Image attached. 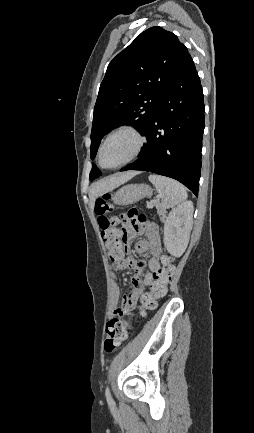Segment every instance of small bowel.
<instances>
[{"label":"small bowel","instance_id":"obj_1","mask_svg":"<svg viewBox=\"0 0 254 433\" xmlns=\"http://www.w3.org/2000/svg\"><path fill=\"white\" fill-rule=\"evenodd\" d=\"M124 225L128 231V236L132 237L137 232L141 231L140 226H132L126 220H124ZM148 238L146 240H140L135 245V250L138 254H146L150 251V256L148 259L147 267L144 263L133 256H124L118 261L112 262L115 266V270H125L127 268H132L137 273H143V278L135 276L131 280V291L128 296L123 300L122 305H119V285L114 280L111 284L112 300L109 306L108 315L114 317L120 315L124 309H133L136 307L139 298L142 296L144 289L150 287L152 289L155 283V273L160 267V259L162 256V244L158 229L156 226L152 225L143 230ZM167 292V288H166Z\"/></svg>","mask_w":254,"mask_h":433}]
</instances>
